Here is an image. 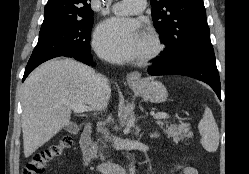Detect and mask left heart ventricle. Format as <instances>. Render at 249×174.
Wrapping results in <instances>:
<instances>
[{
	"mask_svg": "<svg viewBox=\"0 0 249 174\" xmlns=\"http://www.w3.org/2000/svg\"><path fill=\"white\" fill-rule=\"evenodd\" d=\"M148 47H149L148 37L145 33H142L139 40V54L145 51Z\"/></svg>",
	"mask_w": 249,
	"mask_h": 174,
	"instance_id": "b2bd125f",
	"label": "left heart ventricle"
}]
</instances>
